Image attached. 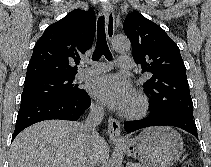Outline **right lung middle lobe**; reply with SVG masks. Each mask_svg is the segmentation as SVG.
I'll use <instances>...</instances> for the list:
<instances>
[{"instance_id": "obj_1", "label": "right lung middle lobe", "mask_w": 211, "mask_h": 167, "mask_svg": "<svg viewBox=\"0 0 211 167\" xmlns=\"http://www.w3.org/2000/svg\"><path fill=\"white\" fill-rule=\"evenodd\" d=\"M74 76H47L25 81L21 100L78 95L83 89L73 83Z\"/></svg>"}]
</instances>
